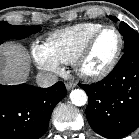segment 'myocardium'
<instances>
[{
    "mask_svg": "<svg viewBox=\"0 0 139 139\" xmlns=\"http://www.w3.org/2000/svg\"><path fill=\"white\" fill-rule=\"evenodd\" d=\"M109 29L113 30L118 37V46H117V49H116V52H115L113 58L100 71H97V72L86 71L84 69L83 65H84V62L87 59L88 55L90 54L96 39L99 37V35L101 33H103L106 30H109ZM123 46H124V39H123V36H122L121 32L119 31V29L113 25H103L88 38L86 43L83 45V47L77 54V56L73 62V66H74L76 73L81 78L88 80V81H99V80L106 78L117 66V64L120 60L122 51H123Z\"/></svg>",
    "mask_w": 139,
    "mask_h": 139,
    "instance_id": "obj_1",
    "label": "myocardium"
}]
</instances>
